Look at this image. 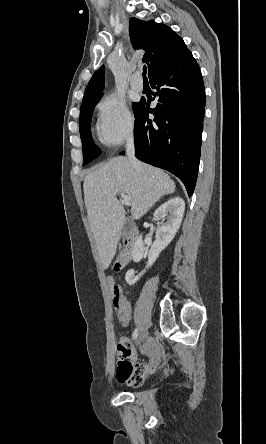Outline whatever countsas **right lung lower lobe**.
<instances>
[{"label": "right lung lower lobe", "instance_id": "98d812e1", "mask_svg": "<svg viewBox=\"0 0 266 444\" xmlns=\"http://www.w3.org/2000/svg\"><path fill=\"white\" fill-rule=\"evenodd\" d=\"M158 103L140 101L135 112V156L176 175L193 194L200 158L205 112L202 75L192 57L185 63L155 74ZM154 120L148 118V113ZM121 154H124L123 152Z\"/></svg>", "mask_w": 266, "mask_h": 444}]
</instances>
